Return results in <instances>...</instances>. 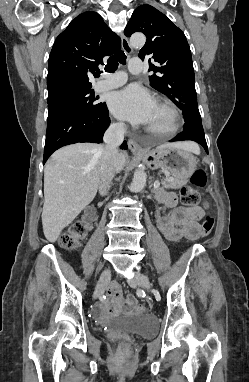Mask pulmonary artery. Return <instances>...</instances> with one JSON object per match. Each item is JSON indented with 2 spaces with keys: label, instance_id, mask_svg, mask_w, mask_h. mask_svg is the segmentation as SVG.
<instances>
[{
  "label": "pulmonary artery",
  "instance_id": "pulmonary-artery-1",
  "mask_svg": "<svg viewBox=\"0 0 249 382\" xmlns=\"http://www.w3.org/2000/svg\"><path fill=\"white\" fill-rule=\"evenodd\" d=\"M128 69L132 73H139L144 69V64L140 58H132L129 61ZM127 81L124 72H117L113 75L103 74L102 79L96 84L98 91L110 90L122 86Z\"/></svg>",
  "mask_w": 249,
  "mask_h": 382
}]
</instances>
